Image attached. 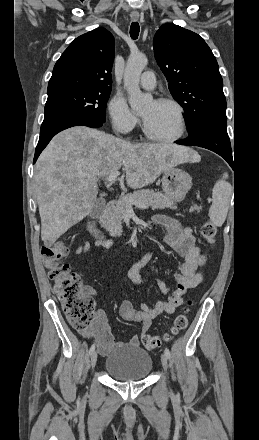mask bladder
I'll list each match as a JSON object with an SVG mask.
<instances>
[{
	"mask_svg": "<svg viewBox=\"0 0 259 440\" xmlns=\"http://www.w3.org/2000/svg\"><path fill=\"white\" fill-rule=\"evenodd\" d=\"M104 368L117 381L136 382L149 375L152 359L139 346L120 345L106 357Z\"/></svg>",
	"mask_w": 259,
	"mask_h": 440,
	"instance_id": "obj_1",
	"label": "bladder"
}]
</instances>
